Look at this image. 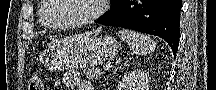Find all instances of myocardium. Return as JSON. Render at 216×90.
<instances>
[{"label": "myocardium", "instance_id": "obj_1", "mask_svg": "<svg viewBox=\"0 0 216 90\" xmlns=\"http://www.w3.org/2000/svg\"><path fill=\"white\" fill-rule=\"evenodd\" d=\"M48 1L49 3H54L55 8H53V11H49V13H46L45 15V17H47L46 22L51 27L58 30H74L92 23L105 12V7L102 3H107V0H93L95 1V3H98V7L96 11L90 16H88L87 18L79 21L78 23L70 25V24H61L54 20V18H57V15H60L61 12H63V9H65L64 4L66 3L61 2V0H48Z\"/></svg>", "mask_w": 216, "mask_h": 90}]
</instances>
